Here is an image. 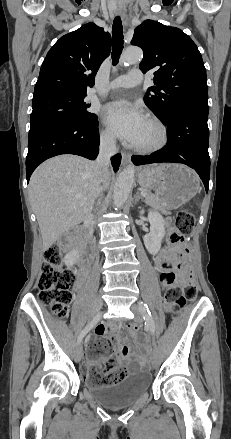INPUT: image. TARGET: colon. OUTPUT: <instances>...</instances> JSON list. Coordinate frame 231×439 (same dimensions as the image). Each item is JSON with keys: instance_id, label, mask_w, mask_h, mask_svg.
Instances as JSON below:
<instances>
[{"instance_id": "5ec220e1", "label": "colon", "mask_w": 231, "mask_h": 439, "mask_svg": "<svg viewBox=\"0 0 231 439\" xmlns=\"http://www.w3.org/2000/svg\"><path fill=\"white\" fill-rule=\"evenodd\" d=\"M194 216L187 210H180L174 218L175 231L170 236L174 245H181L184 242V234L192 229ZM188 252L180 250L175 262L176 268L180 271L176 274L169 266L161 273V282L165 287V305L168 312L177 314L186 301L196 299L198 295L197 286L188 280L186 270V259ZM75 284L74 273L64 266L58 246L48 248L44 253L42 272L38 280V301L42 305H49L52 312L59 318L65 316L68 305L72 299V290ZM138 327L132 325L129 331L136 334ZM111 353V346L99 337L90 340V355L92 357H106ZM105 366L97 369H90L88 382L90 385L103 386L113 385L121 382L126 377V370L122 367L113 366L104 370Z\"/></svg>"}]
</instances>
